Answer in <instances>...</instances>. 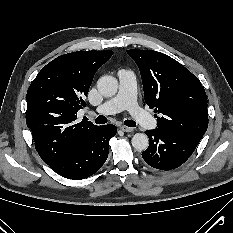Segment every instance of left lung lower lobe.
Instances as JSON below:
<instances>
[{"label": "left lung lower lobe", "mask_w": 233, "mask_h": 233, "mask_svg": "<svg viewBox=\"0 0 233 233\" xmlns=\"http://www.w3.org/2000/svg\"><path fill=\"white\" fill-rule=\"evenodd\" d=\"M149 146L142 153L143 159L158 170H171L181 166L194 152L199 141L171 131L147 130Z\"/></svg>", "instance_id": "obj_1"}]
</instances>
